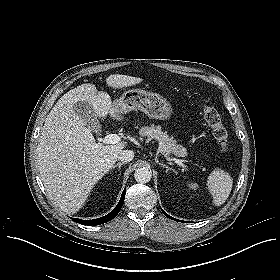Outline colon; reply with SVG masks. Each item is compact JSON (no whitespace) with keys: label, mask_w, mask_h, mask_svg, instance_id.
Segmentation results:
<instances>
[{"label":"colon","mask_w":280,"mask_h":280,"mask_svg":"<svg viewBox=\"0 0 280 280\" xmlns=\"http://www.w3.org/2000/svg\"><path fill=\"white\" fill-rule=\"evenodd\" d=\"M202 115L204 122L211 129L220 152L224 154L227 153L229 150L228 132L222 122L220 114L215 108L204 106Z\"/></svg>","instance_id":"obj_1"}]
</instances>
